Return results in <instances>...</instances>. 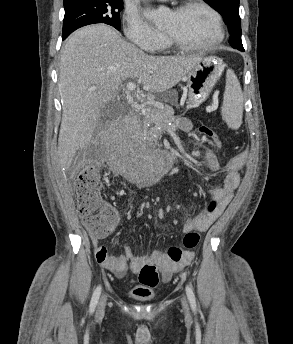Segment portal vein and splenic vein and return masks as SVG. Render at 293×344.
Segmentation results:
<instances>
[{
    "instance_id": "portal-vein-and-splenic-vein-1",
    "label": "portal vein and splenic vein",
    "mask_w": 293,
    "mask_h": 344,
    "mask_svg": "<svg viewBox=\"0 0 293 344\" xmlns=\"http://www.w3.org/2000/svg\"><path fill=\"white\" fill-rule=\"evenodd\" d=\"M126 88H127L128 91L133 92L135 90V88H136V84L134 82H128L127 85H126ZM135 95H136L137 99L139 101H141V103L144 102V99L141 98L138 94H135Z\"/></svg>"
}]
</instances>
